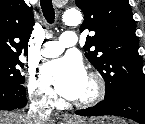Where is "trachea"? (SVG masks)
<instances>
[{
    "label": "trachea",
    "mask_w": 145,
    "mask_h": 124,
    "mask_svg": "<svg viewBox=\"0 0 145 124\" xmlns=\"http://www.w3.org/2000/svg\"><path fill=\"white\" fill-rule=\"evenodd\" d=\"M40 4H41L42 12H43L45 19L47 20L48 23L52 24L55 19V11H54V8L52 5V1L51 0H41Z\"/></svg>",
    "instance_id": "trachea-1"
}]
</instances>
